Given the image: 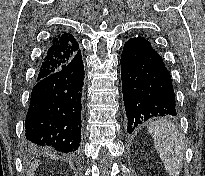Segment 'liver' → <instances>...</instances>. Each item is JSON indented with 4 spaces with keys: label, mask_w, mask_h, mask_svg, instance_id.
Listing matches in <instances>:
<instances>
[{
    "label": "liver",
    "mask_w": 205,
    "mask_h": 176,
    "mask_svg": "<svg viewBox=\"0 0 205 176\" xmlns=\"http://www.w3.org/2000/svg\"><path fill=\"white\" fill-rule=\"evenodd\" d=\"M38 166V163H35L32 165V167L28 170L27 175L28 176H33L34 174V169Z\"/></svg>",
    "instance_id": "1"
}]
</instances>
